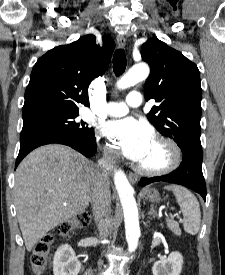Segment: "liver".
Masks as SVG:
<instances>
[{
  "instance_id": "obj_1",
  "label": "liver",
  "mask_w": 225,
  "mask_h": 275,
  "mask_svg": "<svg viewBox=\"0 0 225 275\" xmlns=\"http://www.w3.org/2000/svg\"><path fill=\"white\" fill-rule=\"evenodd\" d=\"M95 172L90 160L60 144L41 146L22 160L14 200L28 251L48 231L89 206Z\"/></svg>"
}]
</instances>
